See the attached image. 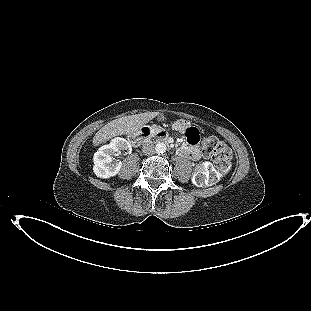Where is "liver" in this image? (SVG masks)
Returning <instances> with one entry per match:
<instances>
[{
	"label": "liver",
	"instance_id": "liver-1",
	"mask_svg": "<svg viewBox=\"0 0 311 311\" xmlns=\"http://www.w3.org/2000/svg\"><path fill=\"white\" fill-rule=\"evenodd\" d=\"M157 116L156 112H147L115 119L103 126L94 136L93 144L98 146L107 140L124 134H135Z\"/></svg>",
	"mask_w": 311,
	"mask_h": 311
}]
</instances>
